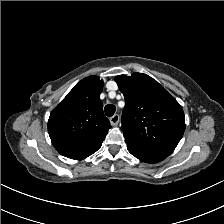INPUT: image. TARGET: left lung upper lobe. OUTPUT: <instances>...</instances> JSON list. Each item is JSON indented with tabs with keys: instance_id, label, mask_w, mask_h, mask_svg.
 Instances as JSON below:
<instances>
[{
	"instance_id": "1",
	"label": "left lung upper lobe",
	"mask_w": 224,
	"mask_h": 224,
	"mask_svg": "<svg viewBox=\"0 0 224 224\" xmlns=\"http://www.w3.org/2000/svg\"><path fill=\"white\" fill-rule=\"evenodd\" d=\"M115 81L126 103L121 118L126 143L169 156L185 131L182 107L146 74L120 75Z\"/></svg>"
}]
</instances>
